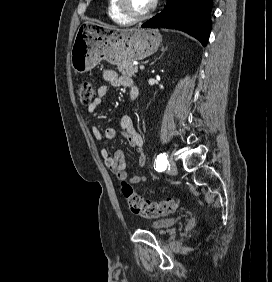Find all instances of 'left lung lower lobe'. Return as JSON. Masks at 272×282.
I'll list each match as a JSON object with an SVG mask.
<instances>
[{
  "label": "left lung lower lobe",
  "instance_id": "0a47b994",
  "mask_svg": "<svg viewBox=\"0 0 272 282\" xmlns=\"http://www.w3.org/2000/svg\"><path fill=\"white\" fill-rule=\"evenodd\" d=\"M211 0H167L163 11L142 25L143 28H168L184 31L206 46L210 35Z\"/></svg>",
  "mask_w": 272,
  "mask_h": 282
}]
</instances>
